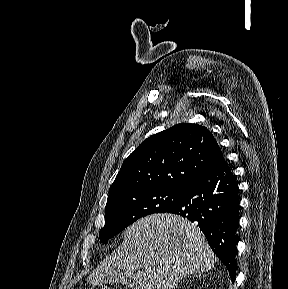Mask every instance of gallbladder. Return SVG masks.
Segmentation results:
<instances>
[{
    "label": "gallbladder",
    "mask_w": 288,
    "mask_h": 289,
    "mask_svg": "<svg viewBox=\"0 0 288 289\" xmlns=\"http://www.w3.org/2000/svg\"><path fill=\"white\" fill-rule=\"evenodd\" d=\"M108 282L112 284H125L126 278L123 272H117Z\"/></svg>",
    "instance_id": "obj_1"
}]
</instances>
